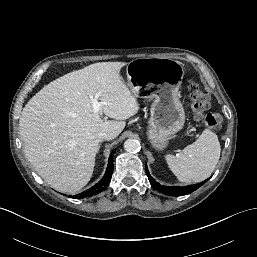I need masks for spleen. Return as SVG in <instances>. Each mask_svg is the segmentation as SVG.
Listing matches in <instances>:
<instances>
[{
	"label": "spleen",
	"instance_id": "1",
	"mask_svg": "<svg viewBox=\"0 0 257 257\" xmlns=\"http://www.w3.org/2000/svg\"><path fill=\"white\" fill-rule=\"evenodd\" d=\"M221 147L217 135L205 129L199 138L176 156L167 154L168 167L179 181L201 182L208 178L220 158Z\"/></svg>",
	"mask_w": 257,
	"mask_h": 257
}]
</instances>
